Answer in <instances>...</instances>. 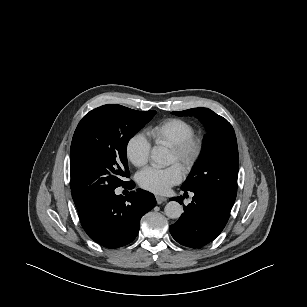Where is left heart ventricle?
Segmentation results:
<instances>
[{
    "label": "left heart ventricle",
    "instance_id": "1",
    "mask_svg": "<svg viewBox=\"0 0 307 307\" xmlns=\"http://www.w3.org/2000/svg\"><path fill=\"white\" fill-rule=\"evenodd\" d=\"M170 162L171 163H176L177 162V159H176V156L174 153L171 152V156H170Z\"/></svg>",
    "mask_w": 307,
    "mask_h": 307
}]
</instances>
